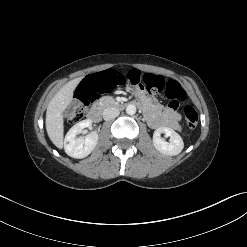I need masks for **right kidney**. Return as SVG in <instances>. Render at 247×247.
I'll return each instance as SVG.
<instances>
[{"mask_svg":"<svg viewBox=\"0 0 247 247\" xmlns=\"http://www.w3.org/2000/svg\"><path fill=\"white\" fill-rule=\"evenodd\" d=\"M92 121L87 119L75 124L66 134L64 149L67 155L81 159L87 157L95 148L98 142V134L92 132L85 137L78 138L77 135L86 127H90Z\"/></svg>","mask_w":247,"mask_h":247,"instance_id":"1","label":"right kidney"}]
</instances>
